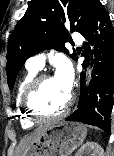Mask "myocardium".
I'll list each match as a JSON object with an SVG mask.
<instances>
[{"mask_svg":"<svg viewBox=\"0 0 114 156\" xmlns=\"http://www.w3.org/2000/svg\"><path fill=\"white\" fill-rule=\"evenodd\" d=\"M50 78H52V76L48 73H41L36 75L27 85L23 93L22 106L27 115L34 121L40 122L63 118L68 114L73 103V96L69 94L68 100L64 108L60 112L52 115L43 114L35 107V95L37 94L41 84Z\"/></svg>","mask_w":114,"mask_h":156,"instance_id":"1","label":"myocardium"}]
</instances>
